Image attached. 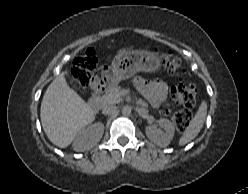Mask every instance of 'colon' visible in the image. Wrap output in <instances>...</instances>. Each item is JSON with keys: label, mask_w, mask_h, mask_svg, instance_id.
I'll list each match as a JSON object with an SVG mask.
<instances>
[{"label": "colon", "mask_w": 248, "mask_h": 194, "mask_svg": "<svg viewBox=\"0 0 248 194\" xmlns=\"http://www.w3.org/2000/svg\"><path fill=\"white\" fill-rule=\"evenodd\" d=\"M155 52L159 61L168 73L183 76L185 78L184 82L173 86L171 89V103L181 105L184 109L173 111L171 105H168L162 110L165 115L171 117V120L178 131H184L188 128L192 119L191 109L196 105V87L194 83L187 78L177 57L170 52ZM96 64V57L91 52L86 53L83 57H80L75 61L71 76L74 86L80 92H84L89 85L96 69Z\"/></svg>", "instance_id": "5ec220e1"}]
</instances>
